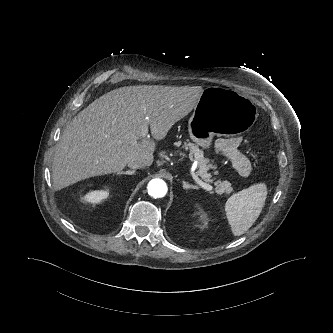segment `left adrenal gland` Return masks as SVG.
<instances>
[{
	"label": "left adrenal gland",
	"mask_w": 333,
	"mask_h": 333,
	"mask_svg": "<svg viewBox=\"0 0 333 333\" xmlns=\"http://www.w3.org/2000/svg\"><path fill=\"white\" fill-rule=\"evenodd\" d=\"M182 183H183V189H198L197 186H193L184 180L182 181Z\"/></svg>",
	"instance_id": "1"
}]
</instances>
